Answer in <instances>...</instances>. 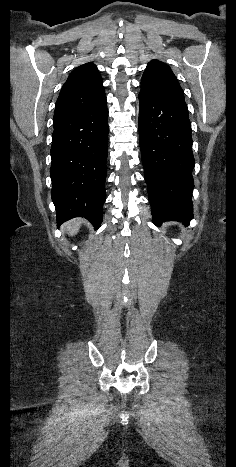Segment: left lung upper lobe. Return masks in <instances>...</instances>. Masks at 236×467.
<instances>
[{"label":"left lung upper lobe","instance_id":"1","mask_svg":"<svg viewBox=\"0 0 236 467\" xmlns=\"http://www.w3.org/2000/svg\"><path fill=\"white\" fill-rule=\"evenodd\" d=\"M141 91L152 96L184 100V92L170 67L158 60L147 65L141 80Z\"/></svg>","mask_w":236,"mask_h":467}]
</instances>
